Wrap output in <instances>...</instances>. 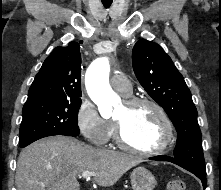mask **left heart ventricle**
I'll return each mask as SVG.
<instances>
[{"mask_svg":"<svg viewBox=\"0 0 221 190\" xmlns=\"http://www.w3.org/2000/svg\"><path fill=\"white\" fill-rule=\"evenodd\" d=\"M113 118L123 124L125 138L135 147L149 149L162 141L163 122L159 114L148 105L128 108L122 102Z\"/></svg>","mask_w":221,"mask_h":190,"instance_id":"b2bd125f","label":"left heart ventricle"}]
</instances>
